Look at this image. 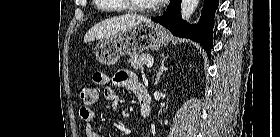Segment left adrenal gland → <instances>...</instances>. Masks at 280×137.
<instances>
[{"label": "left adrenal gland", "instance_id": "obj_1", "mask_svg": "<svg viewBox=\"0 0 280 137\" xmlns=\"http://www.w3.org/2000/svg\"><path fill=\"white\" fill-rule=\"evenodd\" d=\"M166 56H163L162 57V62H161V66H160V69L159 71L157 72V75H156V81H155V85L159 82L160 80V76L163 74V72L166 70V67H165V60H166Z\"/></svg>", "mask_w": 280, "mask_h": 137}]
</instances>
